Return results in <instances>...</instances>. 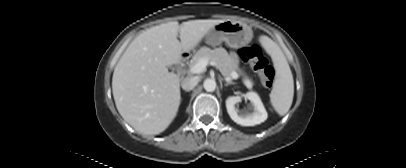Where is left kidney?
I'll return each mask as SVG.
<instances>
[{
    "label": "left kidney",
    "mask_w": 406,
    "mask_h": 168,
    "mask_svg": "<svg viewBox=\"0 0 406 168\" xmlns=\"http://www.w3.org/2000/svg\"><path fill=\"white\" fill-rule=\"evenodd\" d=\"M245 98L252 103V112H239L235 105L241 101V96H230L226 99V108L231 119L241 126H254L264 122L268 115L266 109L255 92H248L244 95Z\"/></svg>",
    "instance_id": "5707ae66"
}]
</instances>
